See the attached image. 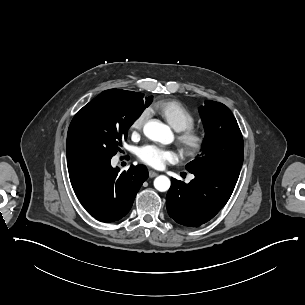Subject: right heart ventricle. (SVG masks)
<instances>
[{
	"label": "right heart ventricle",
	"instance_id": "obj_1",
	"mask_svg": "<svg viewBox=\"0 0 305 305\" xmlns=\"http://www.w3.org/2000/svg\"><path fill=\"white\" fill-rule=\"evenodd\" d=\"M151 109L162 116L176 131L192 128L197 123L195 116L178 101L160 100L154 102Z\"/></svg>",
	"mask_w": 305,
	"mask_h": 305
}]
</instances>
